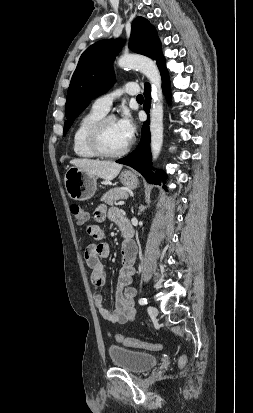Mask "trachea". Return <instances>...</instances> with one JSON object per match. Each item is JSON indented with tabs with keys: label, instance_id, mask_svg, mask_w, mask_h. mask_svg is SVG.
Wrapping results in <instances>:
<instances>
[{
	"label": "trachea",
	"instance_id": "1",
	"mask_svg": "<svg viewBox=\"0 0 253 413\" xmlns=\"http://www.w3.org/2000/svg\"><path fill=\"white\" fill-rule=\"evenodd\" d=\"M136 99H137V101H143V96L140 94V95L137 96Z\"/></svg>",
	"mask_w": 253,
	"mask_h": 413
}]
</instances>
